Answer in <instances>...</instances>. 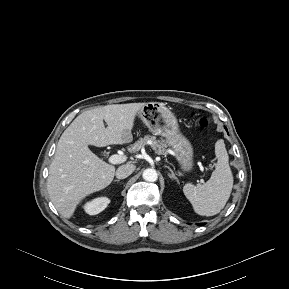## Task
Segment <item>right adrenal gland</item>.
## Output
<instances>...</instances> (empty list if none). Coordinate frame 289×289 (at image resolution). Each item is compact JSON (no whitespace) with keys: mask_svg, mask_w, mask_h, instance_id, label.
<instances>
[{"mask_svg":"<svg viewBox=\"0 0 289 289\" xmlns=\"http://www.w3.org/2000/svg\"><path fill=\"white\" fill-rule=\"evenodd\" d=\"M114 182H120V180L119 179H115Z\"/></svg>","mask_w":289,"mask_h":289,"instance_id":"1","label":"right adrenal gland"}]
</instances>
